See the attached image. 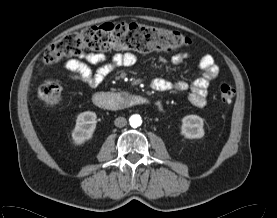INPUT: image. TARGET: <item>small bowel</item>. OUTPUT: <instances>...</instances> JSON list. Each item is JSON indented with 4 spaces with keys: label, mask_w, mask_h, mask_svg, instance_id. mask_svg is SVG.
<instances>
[{
    "label": "small bowel",
    "mask_w": 277,
    "mask_h": 218,
    "mask_svg": "<svg viewBox=\"0 0 277 218\" xmlns=\"http://www.w3.org/2000/svg\"><path fill=\"white\" fill-rule=\"evenodd\" d=\"M187 58L188 54L186 53H176L169 58L168 62L172 65H179ZM136 61L137 58L133 53H116L108 60L103 53L84 52L76 58L66 60L63 68L71 80L96 88L116 69L131 67ZM160 61L163 63L167 62L166 59H160ZM199 66L202 70V75L191 84L185 81L171 82L155 78L151 81V87L160 92L172 90L188 92V100L194 106L204 107L207 104L208 87L211 81L218 77L220 69L210 55H204L199 61Z\"/></svg>",
    "instance_id": "1"
}]
</instances>
